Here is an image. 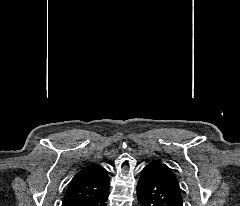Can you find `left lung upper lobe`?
<instances>
[{
	"label": "left lung upper lobe",
	"mask_w": 240,
	"mask_h": 206,
	"mask_svg": "<svg viewBox=\"0 0 240 206\" xmlns=\"http://www.w3.org/2000/svg\"><path fill=\"white\" fill-rule=\"evenodd\" d=\"M162 165H163L164 170L168 174L174 189L181 195V189L179 186V182H178L177 177L175 176L174 172L166 164H162Z\"/></svg>",
	"instance_id": "obj_1"
}]
</instances>
